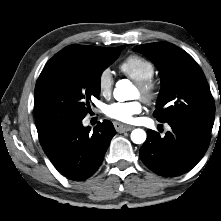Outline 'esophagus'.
Listing matches in <instances>:
<instances>
[{
	"label": "esophagus",
	"mask_w": 221,
	"mask_h": 221,
	"mask_svg": "<svg viewBox=\"0 0 221 221\" xmlns=\"http://www.w3.org/2000/svg\"><path fill=\"white\" fill-rule=\"evenodd\" d=\"M114 127H115L116 131L119 132V133H123V132H126V131H131V130L134 129L133 126L124 125V124H121V123H118V122L114 123Z\"/></svg>",
	"instance_id": "obj_1"
}]
</instances>
